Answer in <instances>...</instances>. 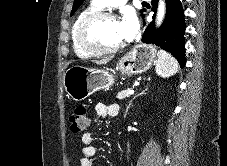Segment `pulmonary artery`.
I'll return each instance as SVG.
<instances>
[{"instance_id": "1", "label": "pulmonary artery", "mask_w": 227, "mask_h": 166, "mask_svg": "<svg viewBox=\"0 0 227 166\" xmlns=\"http://www.w3.org/2000/svg\"><path fill=\"white\" fill-rule=\"evenodd\" d=\"M93 2L100 8H106L120 6L122 4H125L127 0H93Z\"/></svg>"}]
</instances>
